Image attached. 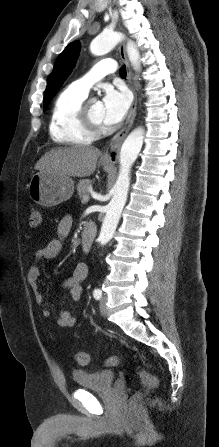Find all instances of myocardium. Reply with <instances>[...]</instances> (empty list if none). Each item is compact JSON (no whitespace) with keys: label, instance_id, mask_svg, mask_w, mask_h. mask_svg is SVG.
<instances>
[{"label":"myocardium","instance_id":"f54148a6","mask_svg":"<svg viewBox=\"0 0 219 447\" xmlns=\"http://www.w3.org/2000/svg\"><path fill=\"white\" fill-rule=\"evenodd\" d=\"M79 122L81 126L93 134H100L104 130L102 123H98L93 120L90 114L89 103L85 100L81 103L79 111Z\"/></svg>","mask_w":219,"mask_h":447}]
</instances>
